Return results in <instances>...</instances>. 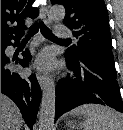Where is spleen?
Here are the masks:
<instances>
[{
  "label": "spleen",
  "mask_w": 123,
  "mask_h": 130,
  "mask_svg": "<svg viewBox=\"0 0 123 130\" xmlns=\"http://www.w3.org/2000/svg\"><path fill=\"white\" fill-rule=\"evenodd\" d=\"M69 114L84 117V130H123L119 114L107 106L84 104Z\"/></svg>",
  "instance_id": "obj_1"
}]
</instances>
